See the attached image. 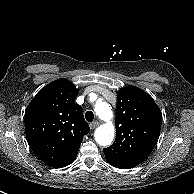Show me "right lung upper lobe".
I'll return each instance as SVG.
<instances>
[{"label": "right lung upper lobe", "instance_id": "obj_1", "mask_svg": "<svg viewBox=\"0 0 194 194\" xmlns=\"http://www.w3.org/2000/svg\"><path fill=\"white\" fill-rule=\"evenodd\" d=\"M79 89L67 79H57L44 88L25 110L27 142L34 154L53 168L71 164L90 132L83 109L74 102Z\"/></svg>", "mask_w": 194, "mask_h": 194}]
</instances>
